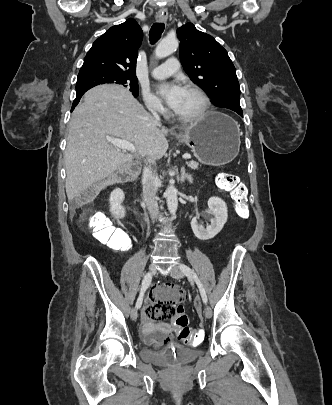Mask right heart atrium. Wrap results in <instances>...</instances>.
I'll return each instance as SVG.
<instances>
[{"instance_id":"1","label":"right heart atrium","mask_w":332,"mask_h":405,"mask_svg":"<svg viewBox=\"0 0 332 405\" xmlns=\"http://www.w3.org/2000/svg\"><path fill=\"white\" fill-rule=\"evenodd\" d=\"M142 99L145 107L154 113H164L165 108L162 103L148 90H142Z\"/></svg>"}]
</instances>
